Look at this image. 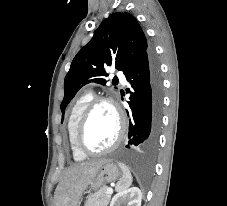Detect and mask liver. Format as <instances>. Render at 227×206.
<instances>
[{"mask_svg": "<svg viewBox=\"0 0 227 206\" xmlns=\"http://www.w3.org/2000/svg\"><path fill=\"white\" fill-rule=\"evenodd\" d=\"M107 160H94L69 167L60 180L54 194L55 206H77L83 191L95 178L99 168Z\"/></svg>", "mask_w": 227, "mask_h": 206, "instance_id": "liver-1", "label": "liver"}]
</instances>
